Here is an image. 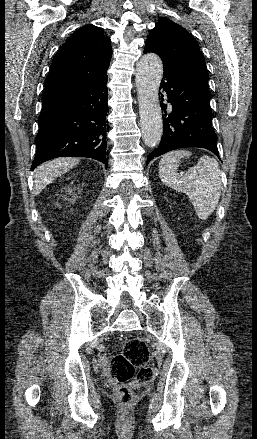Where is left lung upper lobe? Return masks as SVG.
<instances>
[{
    "label": "left lung upper lobe",
    "instance_id": "5c2ea615",
    "mask_svg": "<svg viewBox=\"0 0 257 439\" xmlns=\"http://www.w3.org/2000/svg\"><path fill=\"white\" fill-rule=\"evenodd\" d=\"M144 50L157 53L164 69L179 74L211 97L204 56L196 40L183 27L161 18L148 36Z\"/></svg>",
    "mask_w": 257,
    "mask_h": 439
}]
</instances>
